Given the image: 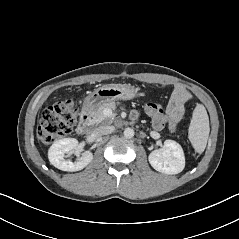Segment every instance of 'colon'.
I'll return each instance as SVG.
<instances>
[{
    "label": "colon",
    "instance_id": "obj_1",
    "mask_svg": "<svg viewBox=\"0 0 239 239\" xmlns=\"http://www.w3.org/2000/svg\"><path fill=\"white\" fill-rule=\"evenodd\" d=\"M148 118L152 126L159 132L167 133V117L161 106L149 103L146 106ZM77 121V112L70 100L60 101L46 108L37 128L38 138L46 144L69 134Z\"/></svg>",
    "mask_w": 239,
    "mask_h": 239
}]
</instances>
